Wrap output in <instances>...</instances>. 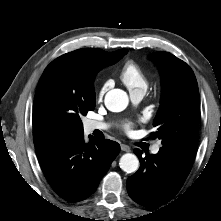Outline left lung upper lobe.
<instances>
[{"label": "left lung upper lobe", "instance_id": "1", "mask_svg": "<svg viewBox=\"0 0 221 221\" xmlns=\"http://www.w3.org/2000/svg\"><path fill=\"white\" fill-rule=\"evenodd\" d=\"M162 76V98L153 126L163 146L194 153L200 118L199 90L192 69L166 52L152 53Z\"/></svg>", "mask_w": 221, "mask_h": 221}]
</instances>
